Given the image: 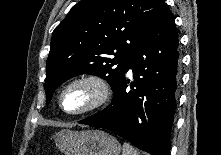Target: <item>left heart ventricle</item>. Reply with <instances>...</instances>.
Instances as JSON below:
<instances>
[{"label": "left heart ventricle", "instance_id": "left-heart-ventricle-1", "mask_svg": "<svg viewBox=\"0 0 221 155\" xmlns=\"http://www.w3.org/2000/svg\"><path fill=\"white\" fill-rule=\"evenodd\" d=\"M91 99L92 92L89 88L77 86L66 92L63 105L69 111H77L88 105Z\"/></svg>", "mask_w": 221, "mask_h": 155}]
</instances>
